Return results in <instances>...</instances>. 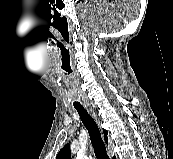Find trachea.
I'll return each instance as SVG.
<instances>
[{"label": "trachea", "instance_id": "3493384b", "mask_svg": "<svg viewBox=\"0 0 173 159\" xmlns=\"http://www.w3.org/2000/svg\"><path fill=\"white\" fill-rule=\"evenodd\" d=\"M76 110L81 118V121L83 122L84 126L88 130L96 158L97 159H109L105 144L102 140L101 133H100V130H99L96 122L88 114L86 109L77 108Z\"/></svg>", "mask_w": 173, "mask_h": 159}]
</instances>
